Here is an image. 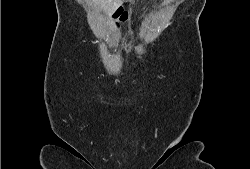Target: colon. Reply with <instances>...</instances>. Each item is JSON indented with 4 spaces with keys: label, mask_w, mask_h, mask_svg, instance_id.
<instances>
[{
    "label": "colon",
    "mask_w": 250,
    "mask_h": 169,
    "mask_svg": "<svg viewBox=\"0 0 250 169\" xmlns=\"http://www.w3.org/2000/svg\"><path fill=\"white\" fill-rule=\"evenodd\" d=\"M115 20L116 26H119L121 23H124L128 19V12L124 10L122 7H118L112 15Z\"/></svg>",
    "instance_id": "colon-1"
}]
</instances>
